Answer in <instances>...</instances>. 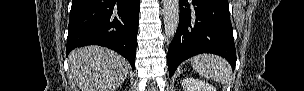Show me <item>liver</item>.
Segmentation results:
<instances>
[{"mask_svg":"<svg viewBox=\"0 0 304 91\" xmlns=\"http://www.w3.org/2000/svg\"><path fill=\"white\" fill-rule=\"evenodd\" d=\"M69 71L81 91H116L127 78L129 63L110 49L86 46L70 53Z\"/></svg>","mask_w":304,"mask_h":91,"instance_id":"liver-1","label":"liver"}]
</instances>
